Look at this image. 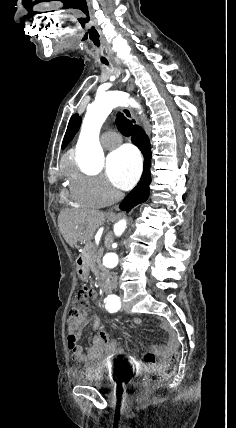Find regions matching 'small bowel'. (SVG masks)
I'll return each instance as SVG.
<instances>
[{"label":"small bowel","mask_w":236,"mask_h":428,"mask_svg":"<svg viewBox=\"0 0 236 428\" xmlns=\"http://www.w3.org/2000/svg\"><path fill=\"white\" fill-rule=\"evenodd\" d=\"M135 323H141L142 320L134 319ZM93 328L97 330L96 336L93 338L92 345L88 350L87 357L82 354L79 347L71 348L73 351V359L76 362H82L86 359L91 361L110 360L114 357L127 358V362L140 369L145 368H156L164 362L169 354L171 347L175 343V332L167 320H160L159 325L165 331L168 336L169 342L167 345L153 346L150 351L144 355V361H139L136 357L128 355L122 347H119L114 341L109 338L108 333L104 329H99V319L93 315L91 317ZM80 331V330H79ZM79 334V332H78Z\"/></svg>","instance_id":"c3829d8e"}]
</instances>
